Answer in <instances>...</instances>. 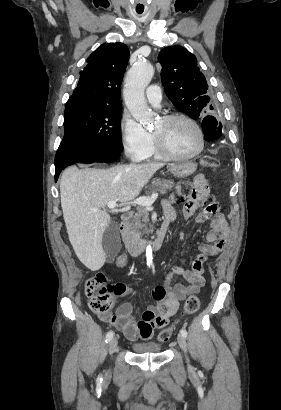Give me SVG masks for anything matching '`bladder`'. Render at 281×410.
Masks as SVG:
<instances>
[{"instance_id": "31cf9c89", "label": "bladder", "mask_w": 281, "mask_h": 410, "mask_svg": "<svg viewBox=\"0 0 281 410\" xmlns=\"http://www.w3.org/2000/svg\"><path fill=\"white\" fill-rule=\"evenodd\" d=\"M131 350L135 354H157L162 351V346L155 342L135 343Z\"/></svg>"}]
</instances>
